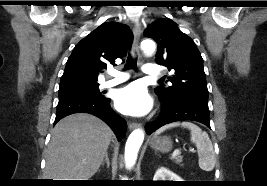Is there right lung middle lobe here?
Returning <instances> with one entry per match:
<instances>
[{
  "label": "right lung middle lobe",
  "instance_id": "1",
  "mask_svg": "<svg viewBox=\"0 0 267 186\" xmlns=\"http://www.w3.org/2000/svg\"><path fill=\"white\" fill-rule=\"evenodd\" d=\"M98 86V83H74L60 85L58 95L59 97H63L71 94H83L93 97H102L103 95L100 93Z\"/></svg>",
  "mask_w": 267,
  "mask_h": 186
}]
</instances>
